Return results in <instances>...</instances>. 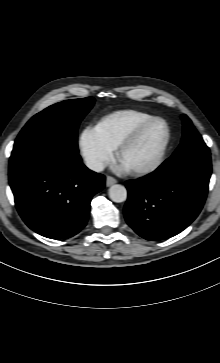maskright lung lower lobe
Returning a JSON list of instances; mask_svg holds the SVG:
<instances>
[{
    "mask_svg": "<svg viewBox=\"0 0 220 363\" xmlns=\"http://www.w3.org/2000/svg\"><path fill=\"white\" fill-rule=\"evenodd\" d=\"M9 183L23 221L42 236L65 239L86 225L105 177L86 168L78 153L52 142L11 157Z\"/></svg>",
    "mask_w": 220,
    "mask_h": 363,
    "instance_id": "obj_1",
    "label": "right lung lower lobe"
}]
</instances>
